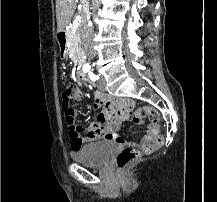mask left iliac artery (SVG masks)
<instances>
[{
  "instance_id": "44dca946",
  "label": "left iliac artery",
  "mask_w": 217,
  "mask_h": 202,
  "mask_svg": "<svg viewBox=\"0 0 217 202\" xmlns=\"http://www.w3.org/2000/svg\"><path fill=\"white\" fill-rule=\"evenodd\" d=\"M90 78H91V80H93V81H96V80L99 79V77L96 76V75H94L93 73L90 74Z\"/></svg>"
}]
</instances>
